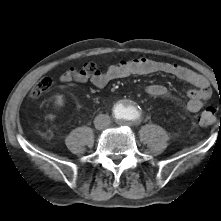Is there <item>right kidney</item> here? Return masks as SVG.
<instances>
[{
    "instance_id": "ca27d5eb",
    "label": "right kidney",
    "mask_w": 221,
    "mask_h": 221,
    "mask_svg": "<svg viewBox=\"0 0 221 221\" xmlns=\"http://www.w3.org/2000/svg\"><path fill=\"white\" fill-rule=\"evenodd\" d=\"M55 106L61 107L64 105V97L62 95H57L55 98Z\"/></svg>"
}]
</instances>
